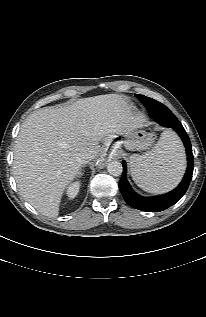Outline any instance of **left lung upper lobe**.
<instances>
[{
  "label": "left lung upper lobe",
  "mask_w": 206,
  "mask_h": 317,
  "mask_svg": "<svg viewBox=\"0 0 206 317\" xmlns=\"http://www.w3.org/2000/svg\"><path fill=\"white\" fill-rule=\"evenodd\" d=\"M136 97L139 99V101H141L144 104L145 107H146V104L153 105L151 103H160V102H158L150 97H146L144 95L136 94Z\"/></svg>",
  "instance_id": "1"
}]
</instances>
